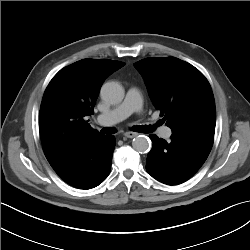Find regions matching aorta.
<instances>
[{
	"label": "aorta",
	"mask_w": 250,
	"mask_h": 250,
	"mask_svg": "<svg viewBox=\"0 0 250 250\" xmlns=\"http://www.w3.org/2000/svg\"><path fill=\"white\" fill-rule=\"evenodd\" d=\"M101 98L110 104H118L124 98V88L117 82H107L101 88ZM132 146L139 153H146L150 149V140L139 135L133 139Z\"/></svg>",
	"instance_id": "1"
}]
</instances>
